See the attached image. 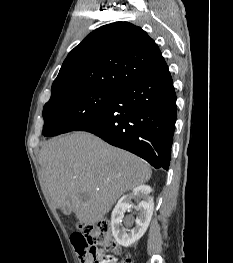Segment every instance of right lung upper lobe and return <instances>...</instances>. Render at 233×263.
<instances>
[{
  "label": "right lung upper lobe",
  "mask_w": 233,
  "mask_h": 263,
  "mask_svg": "<svg viewBox=\"0 0 233 263\" xmlns=\"http://www.w3.org/2000/svg\"><path fill=\"white\" fill-rule=\"evenodd\" d=\"M167 70L158 45L145 31L115 22L91 32L68 54L51 97L89 88L118 91Z\"/></svg>",
  "instance_id": "cb5924a9"
}]
</instances>
